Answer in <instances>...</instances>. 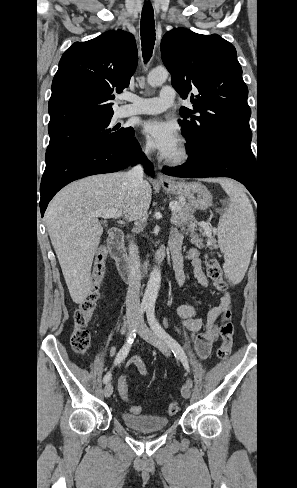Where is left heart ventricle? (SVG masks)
I'll list each match as a JSON object with an SVG mask.
<instances>
[{
  "instance_id": "obj_1",
  "label": "left heart ventricle",
  "mask_w": 297,
  "mask_h": 488,
  "mask_svg": "<svg viewBox=\"0 0 297 488\" xmlns=\"http://www.w3.org/2000/svg\"><path fill=\"white\" fill-rule=\"evenodd\" d=\"M178 151H179V145L175 148V150L171 153V155L169 157H174L178 154Z\"/></svg>"
}]
</instances>
